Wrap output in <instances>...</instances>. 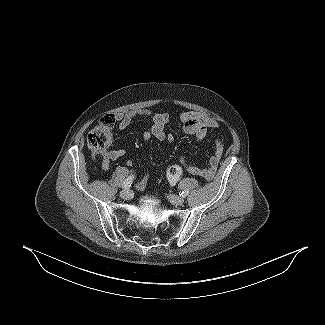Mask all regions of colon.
<instances>
[{
    "label": "colon",
    "instance_id": "colon-1",
    "mask_svg": "<svg viewBox=\"0 0 325 325\" xmlns=\"http://www.w3.org/2000/svg\"><path fill=\"white\" fill-rule=\"evenodd\" d=\"M114 124V116L107 115L103 117L88 134L87 144L89 148L95 152L105 150L112 140ZM182 174L183 169L177 164L169 166L166 170V178L170 183L179 181Z\"/></svg>",
    "mask_w": 325,
    "mask_h": 325
}]
</instances>
